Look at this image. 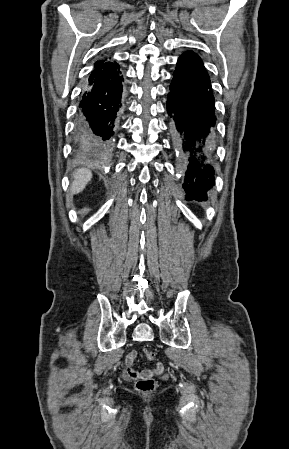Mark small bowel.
<instances>
[{
  "instance_id": "obj_1",
  "label": "small bowel",
  "mask_w": 289,
  "mask_h": 449,
  "mask_svg": "<svg viewBox=\"0 0 289 449\" xmlns=\"http://www.w3.org/2000/svg\"><path fill=\"white\" fill-rule=\"evenodd\" d=\"M139 356L137 351H131L126 355L125 362L127 366V376L132 379H137L143 376H153L157 374H161L164 370V366L162 363H157L156 366L152 369H143L136 370L133 365L137 357Z\"/></svg>"
}]
</instances>
